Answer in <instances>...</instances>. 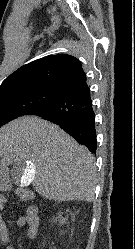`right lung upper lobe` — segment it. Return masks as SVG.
<instances>
[{
    "mask_svg": "<svg viewBox=\"0 0 135 249\" xmlns=\"http://www.w3.org/2000/svg\"><path fill=\"white\" fill-rule=\"evenodd\" d=\"M87 85L81 62L74 56L57 54L28 63L10 76L0 86V95L30 91L66 90Z\"/></svg>",
    "mask_w": 135,
    "mask_h": 249,
    "instance_id": "obj_1",
    "label": "right lung upper lobe"
}]
</instances>
